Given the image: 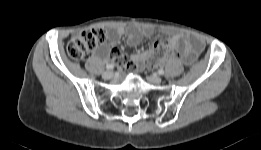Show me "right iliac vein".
<instances>
[{"mask_svg": "<svg viewBox=\"0 0 261 150\" xmlns=\"http://www.w3.org/2000/svg\"><path fill=\"white\" fill-rule=\"evenodd\" d=\"M114 76L113 72L112 71H105L103 74H102V77L104 79H112Z\"/></svg>", "mask_w": 261, "mask_h": 150, "instance_id": "63e3f726", "label": "right iliac vein"}]
</instances>
